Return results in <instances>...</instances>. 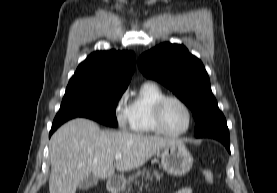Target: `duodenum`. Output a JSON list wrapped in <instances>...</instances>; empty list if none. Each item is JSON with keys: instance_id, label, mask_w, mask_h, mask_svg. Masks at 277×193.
<instances>
[{"instance_id": "1", "label": "duodenum", "mask_w": 277, "mask_h": 193, "mask_svg": "<svg viewBox=\"0 0 277 193\" xmlns=\"http://www.w3.org/2000/svg\"><path fill=\"white\" fill-rule=\"evenodd\" d=\"M121 188V182L118 179H111L108 183V189L111 193H118Z\"/></svg>"}]
</instances>
